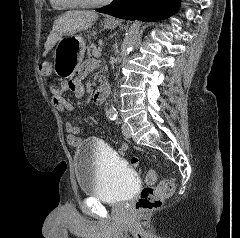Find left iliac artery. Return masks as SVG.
<instances>
[{
    "mask_svg": "<svg viewBox=\"0 0 240 238\" xmlns=\"http://www.w3.org/2000/svg\"><path fill=\"white\" fill-rule=\"evenodd\" d=\"M116 119V115L111 117V120H115Z\"/></svg>",
    "mask_w": 240,
    "mask_h": 238,
    "instance_id": "1",
    "label": "left iliac artery"
}]
</instances>
